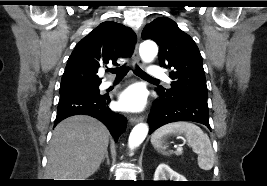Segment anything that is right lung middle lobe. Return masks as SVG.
<instances>
[{
	"label": "right lung middle lobe",
	"instance_id": "obj_1",
	"mask_svg": "<svg viewBox=\"0 0 267 186\" xmlns=\"http://www.w3.org/2000/svg\"><path fill=\"white\" fill-rule=\"evenodd\" d=\"M72 90H85L93 93H99V84H67L61 85L59 89V93H65Z\"/></svg>",
	"mask_w": 267,
	"mask_h": 186
}]
</instances>
